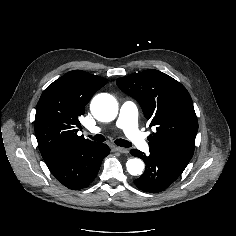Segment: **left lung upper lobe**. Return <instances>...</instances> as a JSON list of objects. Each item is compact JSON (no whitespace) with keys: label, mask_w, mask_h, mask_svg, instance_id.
<instances>
[{"label":"left lung upper lobe","mask_w":236,"mask_h":236,"mask_svg":"<svg viewBox=\"0 0 236 236\" xmlns=\"http://www.w3.org/2000/svg\"><path fill=\"white\" fill-rule=\"evenodd\" d=\"M116 83L139 102L150 126H156L148 137L150 148L187 165L194 153L198 120L186 88L155 69L121 77Z\"/></svg>","instance_id":"left-lung-upper-lobe-1"}]
</instances>
